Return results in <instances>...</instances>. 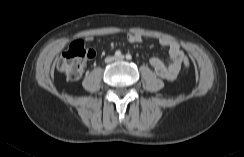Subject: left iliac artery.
Instances as JSON below:
<instances>
[{
	"label": "left iliac artery",
	"mask_w": 244,
	"mask_h": 157,
	"mask_svg": "<svg viewBox=\"0 0 244 157\" xmlns=\"http://www.w3.org/2000/svg\"><path fill=\"white\" fill-rule=\"evenodd\" d=\"M126 59L131 60V59H132L131 54H127V55H126Z\"/></svg>",
	"instance_id": "obj_1"
}]
</instances>
